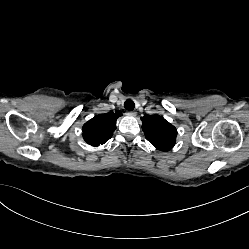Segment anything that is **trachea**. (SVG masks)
Returning <instances> with one entry per match:
<instances>
[{
    "label": "trachea",
    "instance_id": "1",
    "mask_svg": "<svg viewBox=\"0 0 249 249\" xmlns=\"http://www.w3.org/2000/svg\"><path fill=\"white\" fill-rule=\"evenodd\" d=\"M134 107H135V104L132 100L128 99L125 101L124 108L126 110L132 111L134 109Z\"/></svg>",
    "mask_w": 249,
    "mask_h": 249
}]
</instances>
